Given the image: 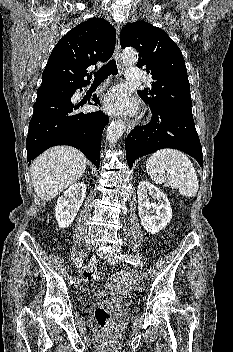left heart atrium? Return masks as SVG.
I'll return each instance as SVG.
<instances>
[{
	"label": "left heart atrium",
	"instance_id": "left-heart-atrium-1",
	"mask_svg": "<svg viewBox=\"0 0 233 352\" xmlns=\"http://www.w3.org/2000/svg\"><path fill=\"white\" fill-rule=\"evenodd\" d=\"M105 107L111 113L124 114L134 109V103L123 89H113L105 98Z\"/></svg>",
	"mask_w": 233,
	"mask_h": 352
}]
</instances>
